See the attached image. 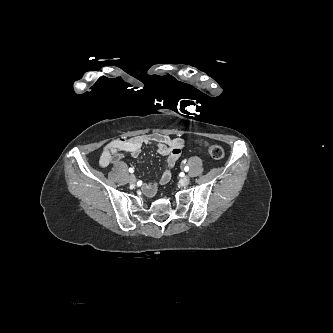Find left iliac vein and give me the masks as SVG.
<instances>
[{"mask_svg": "<svg viewBox=\"0 0 333 333\" xmlns=\"http://www.w3.org/2000/svg\"><path fill=\"white\" fill-rule=\"evenodd\" d=\"M189 182H190L189 177L185 176L182 179H180L179 184H180V186L185 187L189 184Z\"/></svg>", "mask_w": 333, "mask_h": 333, "instance_id": "4c4485c4", "label": "left iliac vein"}]
</instances>
